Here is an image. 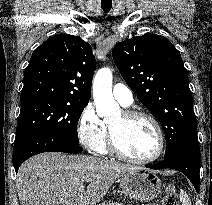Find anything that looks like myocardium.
Masks as SVG:
<instances>
[{
    "instance_id": "obj_1",
    "label": "myocardium",
    "mask_w": 212,
    "mask_h": 205,
    "mask_svg": "<svg viewBox=\"0 0 212 205\" xmlns=\"http://www.w3.org/2000/svg\"><path fill=\"white\" fill-rule=\"evenodd\" d=\"M122 116L125 120H129V119L137 118V117H142V118L147 119L153 126L155 134H156V139H157L156 150L153 154H151L150 156L144 157V158H134V157L127 155L120 148L117 138H116V134H115L113 128L110 126V124H108V148H109V151L112 154H114L115 156H117L118 158H120L124 161L130 162V163H134V164H148V163L156 161L162 155V153L164 151V146H165L164 134H163L162 128H161L159 122L157 121V119L148 112H145L142 110H131V109L123 110Z\"/></svg>"
}]
</instances>
